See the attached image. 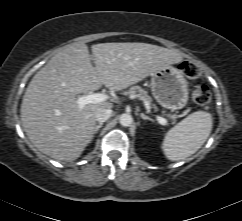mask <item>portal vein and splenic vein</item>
I'll return each mask as SVG.
<instances>
[{"label":"portal vein and splenic vein","mask_w":242,"mask_h":221,"mask_svg":"<svg viewBox=\"0 0 242 221\" xmlns=\"http://www.w3.org/2000/svg\"><path fill=\"white\" fill-rule=\"evenodd\" d=\"M107 98L108 96L106 94L94 93V94H89V95H84L79 97L77 99V103L79 105V109L81 110L86 104H96V103L104 102L107 100ZM156 118L161 125L167 124V119L160 116H157Z\"/></svg>","instance_id":"1"}]
</instances>
